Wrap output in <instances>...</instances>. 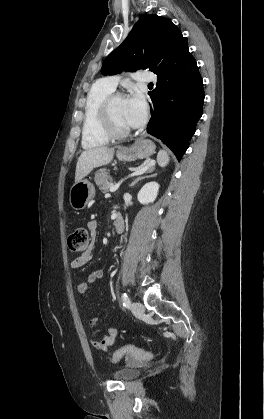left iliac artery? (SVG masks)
<instances>
[{
  "label": "left iliac artery",
  "mask_w": 264,
  "mask_h": 419,
  "mask_svg": "<svg viewBox=\"0 0 264 419\" xmlns=\"http://www.w3.org/2000/svg\"><path fill=\"white\" fill-rule=\"evenodd\" d=\"M122 301H123V306L126 308L130 307L131 301L130 298L128 297V295L126 293H122L121 295Z\"/></svg>",
  "instance_id": "left-iliac-artery-1"
}]
</instances>
